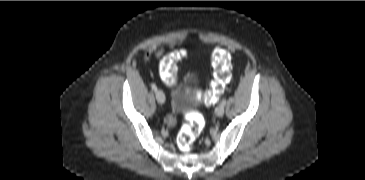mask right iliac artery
<instances>
[{
	"mask_svg": "<svg viewBox=\"0 0 365 180\" xmlns=\"http://www.w3.org/2000/svg\"><path fill=\"white\" fill-rule=\"evenodd\" d=\"M151 87H152L153 91H155V92L157 91V86L154 83L151 84Z\"/></svg>",
	"mask_w": 365,
	"mask_h": 180,
	"instance_id": "82829eb1",
	"label": "right iliac artery"
}]
</instances>
